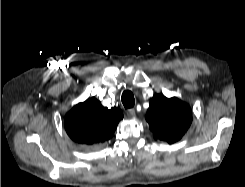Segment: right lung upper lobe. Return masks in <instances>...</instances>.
Here are the masks:
<instances>
[{"label": "right lung upper lobe", "mask_w": 245, "mask_h": 187, "mask_svg": "<svg viewBox=\"0 0 245 187\" xmlns=\"http://www.w3.org/2000/svg\"><path fill=\"white\" fill-rule=\"evenodd\" d=\"M122 118L118 108L108 109L100 101L89 98L66 114L64 127L75 142L93 146L109 140Z\"/></svg>", "instance_id": "1"}]
</instances>
